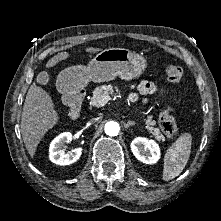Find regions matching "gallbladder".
I'll return each instance as SVG.
<instances>
[{"instance_id":"1","label":"gallbladder","mask_w":221,"mask_h":221,"mask_svg":"<svg viewBox=\"0 0 221 221\" xmlns=\"http://www.w3.org/2000/svg\"><path fill=\"white\" fill-rule=\"evenodd\" d=\"M49 81V75L47 74V72H40L38 74V77H37V82L42 84V85H45L47 84Z\"/></svg>"}]
</instances>
